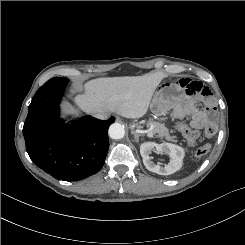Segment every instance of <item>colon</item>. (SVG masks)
I'll use <instances>...</instances> for the list:
<instances>
[{"mask_svg":"<svg viewBox=\"0 0 245 245\" xmlns=\"http://www.w3.org/2000/svg\"><path fill=\"white\" fill-rule=\"evenodd\" d=\"M178 129L183 133L185 139L188 143L194 144L198 138V133L185 126L184 124L179 123L177 125ZM217 132V126L215 123L210 122L208 123L204 128V133L207 137H212ZM210 150V146L208 144L200 145L196 150V156L197 157H203L205 156Z\"/></svg>","mask_w":245,"mask_h":245,"instance_id":"5ec220e1","label":"colon"}]
</instances>
